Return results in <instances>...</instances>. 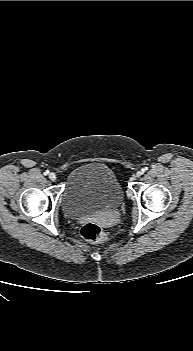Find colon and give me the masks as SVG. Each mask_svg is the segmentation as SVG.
Instances as JSON below:
<instances>
[{"instance_id":"obj_1","label":"colon","mask_w":193,"mask_h":351,"mask_svg":"<svg viewBox=\"0 0 193 351\" xmlns=\"http://www.w3.org/2000/svg\"><path fill=\"white\" fill-rule=\"evenodd\" d=\"M81 235L84 239L93 243H101L105 240V233L102 227L93 221L83 224Z\"/></svg>"}]
</instances>
